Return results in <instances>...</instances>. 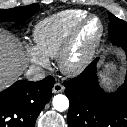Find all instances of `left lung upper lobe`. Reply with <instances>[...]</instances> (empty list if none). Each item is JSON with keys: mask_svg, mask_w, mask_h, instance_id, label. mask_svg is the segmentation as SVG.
<instances>
[{"mask_svg": "<svg viewBox=\"0 0 127 127\" xmlns=\"http://www.w3.org/2000/svg\"><path fill=\"white\" fill-rule=\"evenodd\" d=\"M110 26L108 38L110 41H118L122 38H127V23L113 14L109 13Z\"/></svg>", "mask_w": 127, "mask_h": 127, "instance_id": "obj_1", "label": "left lung upper lobe"}]
</instances>
